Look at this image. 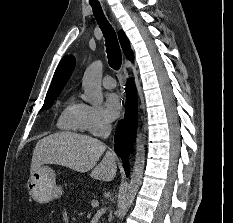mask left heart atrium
<instances>
[{
  "label": "left heart atrium",
  "instance_id": "39dd6f15",
  "mask_svg": "<svg viewBox=\"0 0 233 223\" xmlns=\"http://www.w3.org/2000/svg\"><path fill=\"white\" fill-rule=\"evenodd\" d=\"M121 110L122 107L119 98L116 95L109 96L105 106L107 117L110 120H115L120 116Z\"/></svg>",
  "mask_w": 233,
  "mask_h": 223
}]
</instances>
